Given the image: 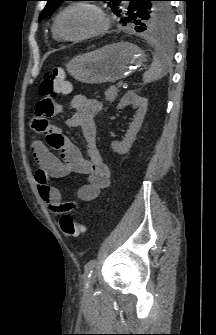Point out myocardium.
I'll list each match as a JSON object with an SVG mask.
<instances>
[{
  "label": "myocardium",
  "instance_id": "obj_1",
  "mask_svg": "<svg viewBox=\"0 0 216 335\" xmlns=\"http://www.w3.org/2000/svg\"><path fill=\"white\" fill-rule=\"evenodd\" d=\"M76 7H86L89 8L91 10H93L100 18V25L87 32L84 33L82 35L79 36H67L65 35L61 29H60V19L61 17L69 10L76 8ZM111 26V20L108 17V15L106 14V12L103 10V8L97 4L91 3V2H73L71 4H69L68 6H66L65 8H63L56 16L55 21H54V30L57 33V35L66 41H81V40H85V39H89V38H93L96 36H99L103 33H105Z\"/></svg>",
  "mask_w": 216,
  "mask_h": 335
}]
</instances>
